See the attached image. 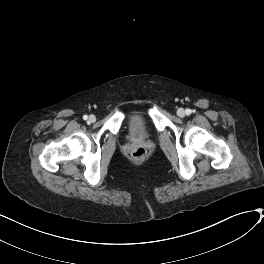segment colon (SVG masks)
Masks as SVG:
<instances>
[{
  "label": "colon",
  "instance_id": "1",
  "mask_svg": "<svg viewBox=\"0 0 264 264\" xmlns=\"http://www.w3.org/2000/svg\"><path fill=\"white\" fill-rule=\"evenodd\" d=\"M145 156H146V150L143 147H138L133 153V157L136 160H142L145 158Z\"/></svg>",
  "mask_w": 264,
  "mask_h": 264
}]
</instances>
